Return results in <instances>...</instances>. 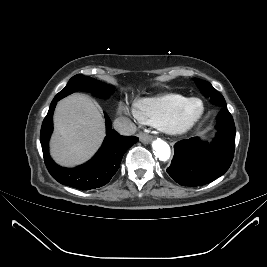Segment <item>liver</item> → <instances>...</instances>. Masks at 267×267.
<instances>
[{
  "mask_svg": "<svg viewBox=\"0 0 267 267\" xmlns=\"http://www.w3.org/2000/svg\"><path fill=\"white\" fill-rule=\"evenodd\" d=\"M54 126L51 155L63 166H75L88 160L105 137V122L100 111L82 94H72L58 102Z\"/></svg>",
  "mask_w": 267,
  "mask_h": 267,
  "instance_id": "6515ba94",
  "label": "liver"
}]
</instances>
